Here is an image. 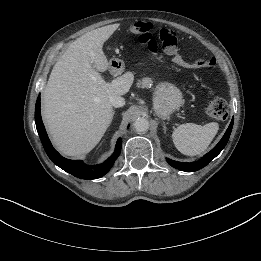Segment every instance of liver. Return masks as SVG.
Instances as JSON below:
<instances>
[{
    "instance_id": "1",
    "label": "liver",
    "mask_w": 261,
    "mask_h": 261,
    "mask_svg": "<svg viewBox=\"0 0 261 261\" xmlns=\"http://www.w3.org/2000/svg\"><path fill=\"white\" fill-rule=\"evenodd\" d=\"M108 27L92 30L69 45L54 65L43 92V119L54 145L66 156L89 153L113 118L110 96L126 94L133 75L106 82L109 63L102 50Z\"/></svg>"
}]
</instances>
